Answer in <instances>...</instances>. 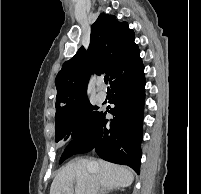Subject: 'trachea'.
Masks as SVG:
<instances>
[{"instance_id": "3493384b", "label": "trachea", "mask_w": 201, "mask_h": 194, "mask_svg": "<svg viewBox=\"0 0 201 194\" xmlns=\"http://www.w3.org/2000/svg\"><path fill=\"white\" fill-rule=\"evenodd\" d=\"M108 81H109V77H108V76H105V77H104V82H105V84H108Z\"/></svg>"}]
</instances>
